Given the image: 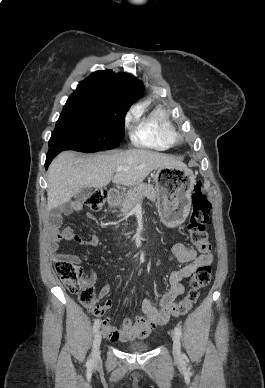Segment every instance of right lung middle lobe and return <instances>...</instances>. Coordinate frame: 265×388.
Masks as SVG:
<instances>
[{
    "label": "right lung middle lobe",
    "instance_id": "1",
    "mask_svg": "<svg viewBox=\"0 0 265 388\" xmlns=\"http://www.w3.org/2000/svg\"><path fill=\"white\" fill-rule=\"evenodd\" d=\"M133 101L104 95H71L49 140V153H93L119 146Z\"/></svg>",
    "mask_w": 265,
    "mask_h": 388
}]
</instances>
